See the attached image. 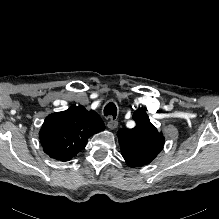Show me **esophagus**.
<instances>
[{
    "mask_svg": "<svg viewBox=\"0 0 219 219\" xmlns=\"http://www.w3.org/2000/svg\"><path fill=\"white\" fill-rule=\"evenodd\" d=\"M107 126L110 130H115L118 126V122L116 120H113V118H109Z\"/></svg>",
    "mask_w": 219,
    "mask_h": 219,
    "instance_id": "esophagus-1",
    "label": "esophagus"
}]
</instances>
